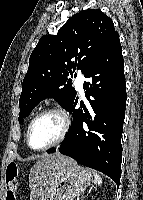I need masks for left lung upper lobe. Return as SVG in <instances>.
I'll return each mask as SVG.
<instances>
[{"instance_id": "5c2ea615", "label": "left lung upper lobe", "mask_w": 143, "mask_h": 200, "mask_svg": "<svg viewBox=\"0 0 143 200\" xmlns=\"http://www.w3.org/2000/svg\"><path fill=\"white\" fill-rule=\"evenodd\" d=\"M112 20L99 9L74 14L57 35H44L33 50L19 99V121L43 99L54 98L70 110L76 97L71 79L84 74L117 36Z\"/></svg>"}]
</instances>
